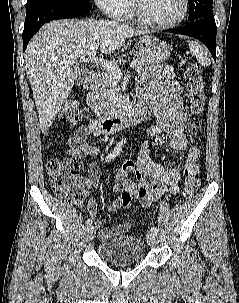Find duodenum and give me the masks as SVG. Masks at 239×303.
<instances>
[{
    "label": "duodenum",
    "mask_w": 239,
    "mask_h": 303,
    "mask_svg": "<svg viewBox=\"0 0 239 303\" xmlns=\"http://www.w3.org/2000/svg\"><path fill=\"white\" fill-rule=\"evenodd\" d=\"M98 75L96 72H90L85 79L84 88L87 92L97 86ZM86 99V97H85ZM151 114V109L141 105L131 110H121L110 113L101 118L98 123L99 129L104 133H112L122 129L127 125H136L142 123Z\"/></svg>",
    "instance_id": "duodenum-1"
}]
</instances>
